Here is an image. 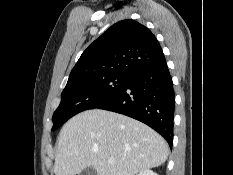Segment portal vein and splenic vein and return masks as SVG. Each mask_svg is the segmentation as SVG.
Instances as JSON below:
<instances>
[{
	"instance_id": "1",
	"label": "portal vein and splenic vein",
	"mask_w": 233,
	"mask_h": 175,
	"mask_svg": "<svg viewBox=\"0 0 233 175\" xmlns=\"http://www.w3.org/2000/svg\"><path fill=\"white\" fill-rule=\"evenodd\" d=\"M108 162H109V163H113V162H114V159H113V158H110V159L108 160Z\"/></svg>"
}]
</instances>
